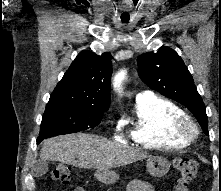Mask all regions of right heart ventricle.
Here are the masks:
<instances>
[{
	"label": "right heart ventricle",
	"instance_id": "1",
	"mask_svg": "<svg viewBox=\"0 0 221 191\" xmlns=\"http://www.w3.org/2000/svg\"><path fill=\"white\" fill-rule=\"evenodd\" d=\"M183 116L184 111L167 98L154 95L148 100L136 101L128 137L146 149L185 148L190 142L175 133V124Z\"/></svg>",
	"mask_w": 221,
	"mask_h": 191
}]
</instances>
